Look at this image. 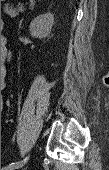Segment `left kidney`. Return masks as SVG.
I'll return each instance as SVG.
<instances>
[{
	"label": "left kidney",
	"instance_id": "left-kidney-1",
	"mask_svg": "<svg viewBox=\"0 0 109 170\" xmlns=\"http://www.w3.org/2000/svg\"><path fill=\"white\" fill-rule=\"evenodd\" d=\"M54 16L52 13H46L37 16L29 26L30 34L33 37L42 39L47 37L52 29Z\"/></svg>",
	"mask_w": 109,
	"mask_h": 170
}]
</instances>
